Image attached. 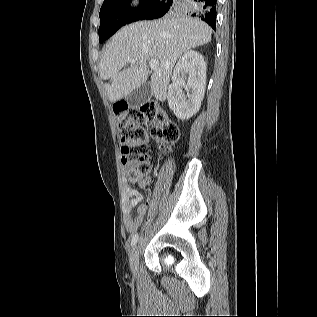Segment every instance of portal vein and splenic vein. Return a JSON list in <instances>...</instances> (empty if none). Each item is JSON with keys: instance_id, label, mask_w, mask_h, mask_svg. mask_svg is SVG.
I'll use <instances>...</instances> for the list:
<instances>
[{"instance_id": "1", "label": "portal vein and splenic vein", "mask_w": 317, "mask_h": 317, "mask_svg": "<svg viewBox=\"0 0 317 317\" xmlns=\"http://www.w3.org/2000/svg\"><path fill=\"white\" fill-rule=\"evenodd\" d=\"M127 61H128L129 63H134V62H135V60H134V59H131L130 57H128ZM149 66H150V68L153 69V70L157 69V67L159 66V61H158L157 59H151V60L149 61Z\"/></svg>"}]
</instances>
